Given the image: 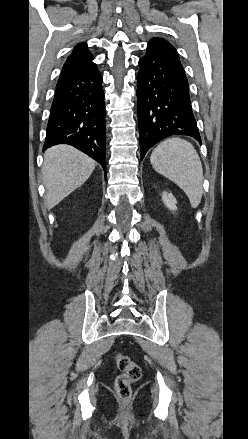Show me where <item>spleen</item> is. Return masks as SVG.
<instances>
[{"label":"spleen","instance_id":"spleen-1","mask_svg":"<svg viewBox=\"0 0 248 439\" xmlns=\"http://www.w3.org/2000/svg\"><path fill=\"white\" fill-rule=\"evenodd\" d=\"M150 162L159 174L185 192L193 208L198 207L203 194V168L191 143L178 137L168 138L153 150Z\"/></svg>","mask_w":248,"mask_h":439}]
</instances>
